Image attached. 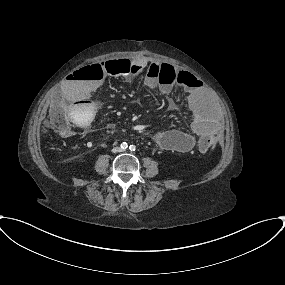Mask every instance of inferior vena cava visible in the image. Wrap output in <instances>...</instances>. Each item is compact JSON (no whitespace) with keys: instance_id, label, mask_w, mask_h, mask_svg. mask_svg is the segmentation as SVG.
Instances as JSON below:
<instances>
[{"instance_id":"inferior-vena-cava-1","label":"inferior vena cava","mask_w":285,"mask_h":285,"mask_svg":"<svg viewBox=\"0 0 285 285\" xmlns=\"http://www.w3.org/2000/svg\"><path fill=\"white\" fill-rule=\"evenodd\" d=\"M113 151H118V152H120L121 149H120V148H115V149H113Z\"/></svg>"}]
</instances>
